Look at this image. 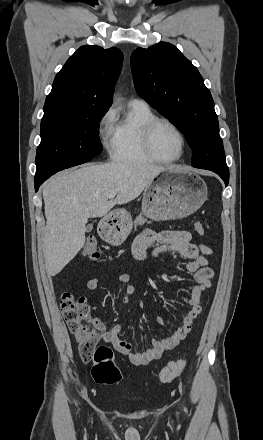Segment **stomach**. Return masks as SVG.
<instances>
[{"instance_id":"1","label":"stomach","mask_w":263,"mask_h":440,"mask_svg":"<svg viewBox=\"0 0 263 440\" xmlns=\"http://www.w3.org/2000/svg\"><path fill=\"white\" fill-rule=\"evenodd\" d=\"M207 186L198 175L181 170L167 169L146 187L142 212L153 220L182 219L197 211L207 199ZM116 223L105 228L104 239L115 246L121 245L131 232L127 212L119 211Z\"/></svg>"}]
</instances>
